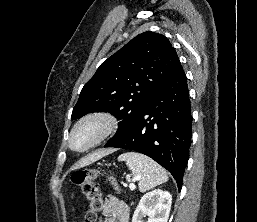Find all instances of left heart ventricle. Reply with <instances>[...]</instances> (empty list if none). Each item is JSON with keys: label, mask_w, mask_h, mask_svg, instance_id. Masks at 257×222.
<instances>
[{"label": "left heart ventricle", "mask_w": 257, "mask_h": 222, "mask_svg": "<svg viewBox=\"0 0 257 222\" xmlns=\"http://www.w3.org/2000/svg\"><path fill=\"white\" fill-rule=\"evenodd\" d=\"M101 126L96 122H89L79 127L74 133L72 145L76 149H83L90 145L99 135Z\"/></svg>", "instance_id": "b2bd125f"}]
</instances>
